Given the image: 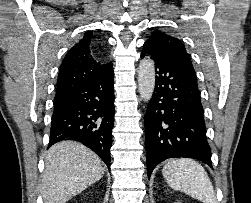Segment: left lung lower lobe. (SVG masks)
<instances>
[{
  "label": "left lung lower lobe",
  "instance_id": "obj_1",
  "mask_svg": "<svg viewBox=\"0 0 251 203\" xmlns=\"http://www.w3.org/2000/svg\"><path fill=\"white\" fill-rule=\"evenodd\" d=\"M145 56L154 60L156 69L154 93L144 116L148 178L168 158H193L212 167L195 71L147 43L141 58Z\"/></svg>",
  "mask_w": 251,
  "mask_h": 203
}]
</instances>
